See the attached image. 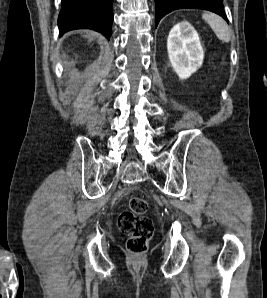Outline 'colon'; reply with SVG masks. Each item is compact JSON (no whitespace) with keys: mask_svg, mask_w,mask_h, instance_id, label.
<instances>
[{"mask_svg":"<svg viewBox=\"0 0 267 298\" xmlns=\"http://www.w3.org/2000/svg\"><path fill=\"white\" fill-rule=\"evenodd\" d=\"M147 210L146 200L132 197L117 219L120 231L128 237L127 250L135 256H140L147 251L149 241L154 234V224L146 215Z\"/></svg>","mask_w":267,"mask_h":298,"instance_id":"5ec220e1","label":"colon"}]
</instances>
